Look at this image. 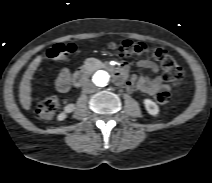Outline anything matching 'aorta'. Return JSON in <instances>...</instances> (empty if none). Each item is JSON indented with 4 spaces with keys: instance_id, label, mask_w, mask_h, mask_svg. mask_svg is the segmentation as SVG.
I'll return each instance as SVG.
<instances>
[{
    "instance_id": "1",
    "label": "aorta",
    "mask_w": 212,
    "mask_h": 183,
    "mask_svg": "<svg viewBox=\"0 0 212 183\" xmlns=\"http://www.w3.org/2000/svg\"><path fill=\"white\" fill-rule=\"evenodd\" d=\"M89 81L96 89L104 88L109 84L110 74L106 70H96L91 74Z\"/></svg>"
}]
</instances>
